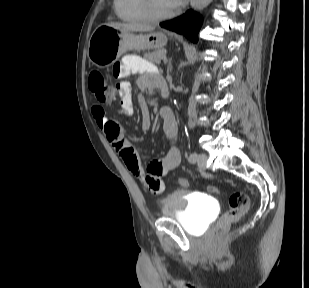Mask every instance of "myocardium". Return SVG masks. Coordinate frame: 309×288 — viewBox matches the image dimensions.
<instances>
[{
    "label": "myocardium",
    "instance_id": "1",
    "mask_svg": "<svg viewBox=\"0 0 309 288\" xmlns=\"http://www.w3.org/2000/svg\"><path fill=\"white\" fill-rule=\"evenodd\" d=\"M142 9L145 13V15L151 20V21H160L168 19L176 14V10L173 9L166 13H160L157 11L155 7V1L154 0H140Z\"/></svg>",
    "mask_w": 309,
    "mask_h": 288
}]
</instances>
